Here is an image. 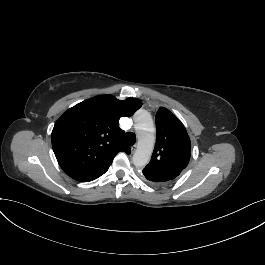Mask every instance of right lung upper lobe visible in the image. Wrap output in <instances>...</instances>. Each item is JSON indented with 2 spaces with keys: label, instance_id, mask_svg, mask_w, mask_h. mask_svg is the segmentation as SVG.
<instances>
[{
  "label": "right lung upper lobe",
  "instance_id": "obj_1",
  "mask_svg": "<svg viewBox=\"0 0 265 265\" xmlns=\"http://www.w3.org/2000/svg\"><path fill=\"white\" fill-rule=\"evenodd\" d=\"M141 106L136 98L121 101L100 95L63 113L51 134L53 151L63 171L75 180L89 182L109 169L117 153L130 154L118 121Z\"/></svg>",
  "mask_w": 265,
  "mask_h": 265
}]
</instances>
